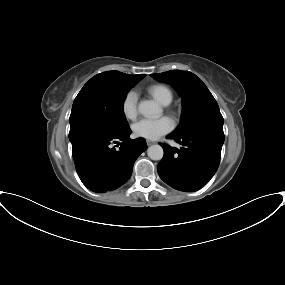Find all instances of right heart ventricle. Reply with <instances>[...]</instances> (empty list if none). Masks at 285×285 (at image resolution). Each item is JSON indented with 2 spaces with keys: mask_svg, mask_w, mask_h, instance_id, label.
Wrapping results in <instances>:
<instances>
[{
  "mask_svg": "<svg viewBox=\"0 0 285 285\" xmlns=\"http://www.w3.org/2000/svg\"><path fill=\"white\" fill-rule=\"evenodd\" d=\"M147 92L163 105H168L173 100L172 89L165 84H153L147 88Z\"/></svg>",
  "mask_w": 285,
  "mask_h": 285,
  "instance_id": "1",
  "label": "right heart ventricle"
}]
</instances>
